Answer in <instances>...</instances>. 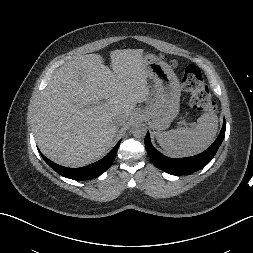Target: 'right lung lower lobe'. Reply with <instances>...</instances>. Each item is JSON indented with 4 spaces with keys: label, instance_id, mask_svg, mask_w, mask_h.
<instances>
[{
    "label": "right lung lower lobe",
    "instance_id": "98d812e1",
    "mask_svg": "<svg viewBox=\"0 0 253 253\" xmlns=\"http://www.w3.org/2000/svg\"><path fill=\"white\" fill-rule=\"evenodd\" d=\"M121 140L116 144V146L101 160L87 165L85 167L81 168H67L60 166L52 161H50L48 158H46L41 152L42 158L45 160V162L54 169L57 173L60 175L74 179V180H89L93 179L95 177H98L102 173H104L113 163L119 144Z\"/></svg>",
    "mask_w": 253,
    "mask_h": 253
}]
</instances>
